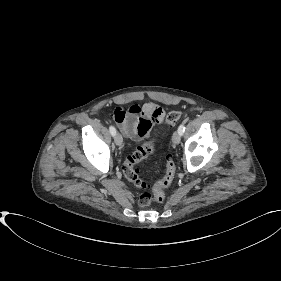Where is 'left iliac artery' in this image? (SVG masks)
Masks as SVG:
<instances>
[{"label": "left iliac artery", "instance_id": "obj_1", "mask_svg": "<svg viewBox=\"0 0 281 281\" xmlns=\"http://www.w3.org/2000/svg\"><path fill=\"white\" fill-rule=\"evenodd\" d=\"M184 131H185V126H184V124H181L178 128V132L182 135L184 133Z\"/></svg>", "mask_w": 281, "mask_h": 281}]
</instances>
